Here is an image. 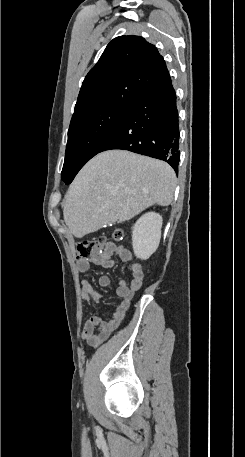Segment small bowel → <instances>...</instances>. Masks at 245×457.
<instances>
[{"mask_svg":"<svg viewBox=\"0 0 245 457\" xmlns=\"http://www.w3.org/2000/svg\"><path fill=\"white\" fill-rule=\"evenodd\" d=\"M113 256L118 257L122 262L127 264L131 280L130 282L125 280L119 281L117 295L121 300L109 319H105L99 314H91L88 317L82 329L81 337L89 346L99 345L117 329L126 315L134 293L142 285L144 277L142 266L133 262L132 254L128 249L117 246L112 242H108L100 254L88 260H80L77 265L78 270L80 272L88 271L91 263L104 268L113 267L115 264L112 259ZM110 282V278L107 275L102 276L99 280L101 287H108ZM81 293L90 304L98 303L101 299L100 294L93 288L91 282L87 279L81 281Z\"/></svg>","mask_w":245,"mask_h":457,"instance_id":"small-bowel-1","label":"small bowel"}]
</instances>
